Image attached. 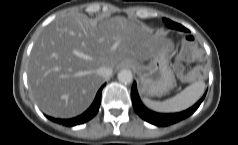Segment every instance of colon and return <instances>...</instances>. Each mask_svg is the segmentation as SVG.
Wrapping results in <instances>:
<instances>
[{"mask_svg": "<svg viewBox=\"0 0 238 145\" xmlns=\"http://www.w3.org/2000/svg\"><path fill=\"white\" fill-rule=\"evenodd\" d=\"M203 58V51L194 39L185 40L179 52V61L175 65V71L187 82H195L206 76L202 67H196L187 74L183 73L181 61L198 62Z\"/></svg>", "mask_w": 238, "mask_h": 145, "instance_id": "colon-1", "label": "colon"}]
</instances>
